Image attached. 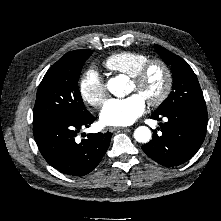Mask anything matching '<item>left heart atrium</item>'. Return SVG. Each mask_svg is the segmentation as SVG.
<instances>
[{
  "instance_id": "1",
  "label": "left heart atrium",
  "mask_w": 221,
  "mask_h": 221,
  "mask_svg": "<svg viewBox=\"0 0 221 221\" xmlns=\"http://www.w3.org/2000/svg\"><path fill=\"white\" fill-rule=\"evenodd\" d=\"M145 108V99L138 93L123 99H110L100 112V120L105 125L127 126L134 123Z\"/></svg>"
}]
</instances>
